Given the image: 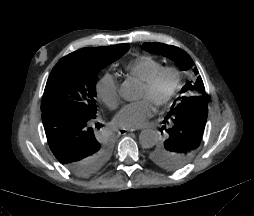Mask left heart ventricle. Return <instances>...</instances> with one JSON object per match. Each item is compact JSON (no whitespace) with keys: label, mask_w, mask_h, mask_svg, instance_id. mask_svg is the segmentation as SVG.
Returning a JSON list of instances; mask_svg holds the SVG:
<instances>
[{"label":"left heart ventricle","mask_w":254,"mask_h":216,"mask_svg":"<svg viewBox=\"0 0 254 216\" xmlns=\"http://www.w3.org/2000/svg\"><path fill=\"white\" fill-rule=\"evenodd\" d=\"M170 85L169 77H163L159 83L152 89L146 90L143 86L139 91V98L148 99L154 103V100L157 98H161L168 90Z\"/></svg>","instance_id":"obj_1"}]
</instances>
